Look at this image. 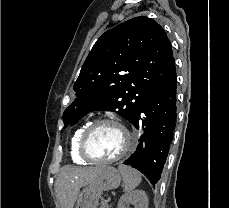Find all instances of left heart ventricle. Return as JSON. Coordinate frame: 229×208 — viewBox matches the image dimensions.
I'll list each match as a JSON object with an SVG mask.
<instances>
[{"label": "left heart ventricle", "mask_w": 229, "mask_h": 208, "mask_svg": "<svg viewBox=\"0 0 229 208\" xmlns=\"http://www.w3.org/2000/svg\"><path fill=\"white\" fill-rule=\"evenodd\" d=\"M124 142H128L126 133L115 125L106 124L92 133L87 152L94 160H110L125 149Z\"/></svg>", "instance_id": "1"}]
</instances>
